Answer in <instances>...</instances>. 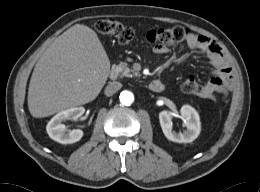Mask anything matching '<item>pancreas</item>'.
<instances>
[{"mask_svg":"<svg viewBox=\"0 0 260 192\" xmlns=\"http://www.w3.org/2000/svg\"><path fill=\"white\" fill-rule=\"evenodd\" d=\"M118 68L120 69V76L121 77H124V76L130 77V76H132V74L130 73V72H132V70L128 67L127 63L121 62L118 65Z\"/></svg>","mask_w":260,"mask_h":192,"instance_id":"obj_1","label":"pancreas"}]
</instances>
